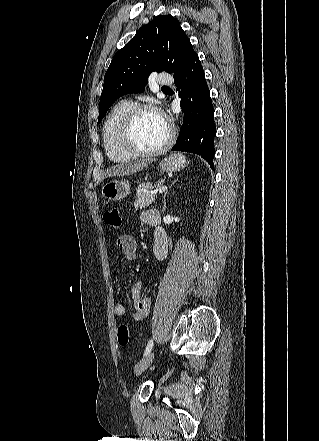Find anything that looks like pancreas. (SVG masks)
<instances>
[{"label": "pancreas", "instance_id": "cf45deb5", "mask_svg": "<svg viewBox=\"0 0 319 441\" xmlns=\"http://www.w3.org/2000/svg\"><path fill=\"white\" fill-rule=\"evenodd\" d=\"M164 184V180L158 181L154 187L160 188ZM153 189V185L150 182L142 183L138 186L136 190V197L134 207L136 210L148 207L150 204L155 202V194L151 192H146L145 190Z\"/></svg>", "mask_w": 319, "mask_h": 441}]
</instances>
